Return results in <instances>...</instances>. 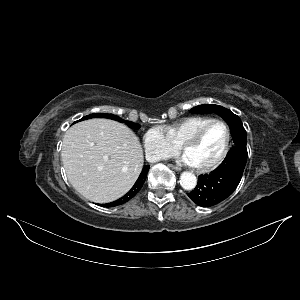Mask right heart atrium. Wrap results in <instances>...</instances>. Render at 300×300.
<instances>
[{
  "label": "right heart atrium",
  "mask_w": 300,
  "mask_h": 300,
  "mask_svg": "<svg viewBox=\"0 0 300 300\" xmlns=\"http://www.w3.org/2000/svg\"><path fill=\"white\" fill-rule=\"evenodd\" d=\"M143 146L146 158L150 162H158L172 157L179 150L161 127H152L144 133Z\"/></svg>",
  "instance_id": "right-heart-atrium-1"
}]
</instances>
